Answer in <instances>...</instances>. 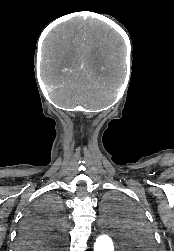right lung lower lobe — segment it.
Listing matches in <instances>:
<instances>
[{"label": "right lung lower lobe", "mask_w": 174, "mask_h": 251, "mask_svg": "<svg viewBox=\"0 0 174 251\" xmlns=\"http://www.w3.org/2000/svg\"><path fill=\"white\" fill-rule=\"evenodd\" d=\"M53 231L44 224L24 221L18 235L17 250L18 251H33L41 250L34 247H40L44 241L49 240L48 236L52 235ZM56 243H60L56 241Z\"/></svg>", "instance_id": "1"}]
</instances>
